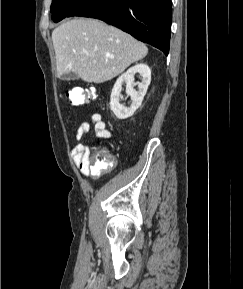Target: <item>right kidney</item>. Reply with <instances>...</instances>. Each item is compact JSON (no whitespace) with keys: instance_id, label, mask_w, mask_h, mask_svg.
I'll return each mask as SVG.
<instances>
[{"instance_id":"1","label":"right kidney","mask_w":243,"mask_h":289,"mask_svg":"<svg viewBox=\"0 0 243 289\" xmlns=\"http://www.w3.org/2000/svg\"><path fill=\"white\" fill-rule=\"evenodd\" d=\"M142 76V81L138 82L139 90L133 89L135 74ZM151 81V70L145 63H138L135 66L129 68L123 73L116 81L111 97H110V109L118 119H126L134 114V112L140 107L143 98L147 92L148 86ZM123 83H126V93L130 96L132 104L130 107H126L120 104V93Z\"/></svg>"}]
</instances>
